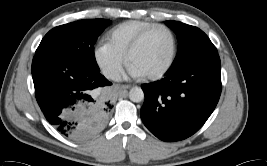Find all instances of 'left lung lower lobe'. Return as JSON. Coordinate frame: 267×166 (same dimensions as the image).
<instances>
[{"label":"left lung lower lobe","mask_w":267,"mask_h":166,"mask_svg":"<svg viewBox=\"0 0 267 166\" xmlns=\"http://www.w3.org/2000/svg\"><path fill=\"white\" fill-rule=\"evenodd\" d=\"M221 64L217 54L173 67L161 81L144 84L141 118L159 139L183 140L209 118L221 94Z\"/></svg>","instance_id":"left-lung-lower-lobe-1"}]
</instances>
